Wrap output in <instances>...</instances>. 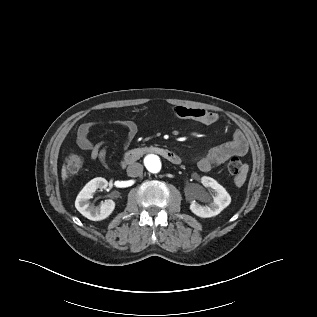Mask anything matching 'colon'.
I'll use <instances>...</instances> for the list:
<instances>
[{
  "mask_svg": "<svg viewBox=\"0 0 317 317\" xmlns=\"http://www.w3.org/2000/svg\"><path fill=\"white\" fill-rule=\"evenodd\" d=\"M83 166V158L80 154L72 152L65 161L66 174L69 177L76 175ZM226 172L241 180L246 173V166L236 157L231 158L225 165Z\"/></svg>",
  "mask_w": 317,
  "mask_h": 317,
  "instance_id": "1",
  "label": "colon"
}]
</instances>
